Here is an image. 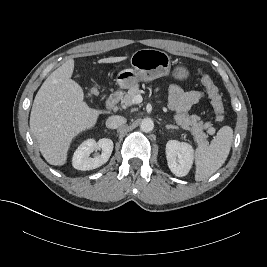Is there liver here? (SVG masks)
Masks as SVG:
<instances>
[{"instance_id": "liver-1", "label": "liver", "mask_w": 267, "mask_h": 267, "mask_svg": "<svg viewBox=\"0 0 267 267\" xmlns=\"http://www.w3.org/2000/svg\"><path fill=\"white\" fill-rule=\"evenodd\" d=\"M126 57L100 59L99 63H117ZM74 60L70 59L53 71L37 92L30 128L45 160L55 166L64 165L72 140L95 126L101 113L84 102L82 87L71 79Z\"/></svg>"}]
</instances>
